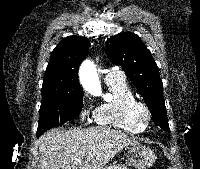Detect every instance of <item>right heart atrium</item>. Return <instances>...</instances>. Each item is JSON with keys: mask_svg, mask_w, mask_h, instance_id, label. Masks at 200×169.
Returning a JSON list of instances; mask_svg holds the SVG:
<instances>
[{"mask_svg": "<svg viewBox=\"0 0 200 169\" xmlns=\"http://www.w3.org/2000/svg\"><path fill=\"white\" fill-rule=\"evenodd\" d=\"M92 114H93V111H92V107H91L89 101L84 100L81 105L80 111H79L80 119L82 121H86L92 116Z\"/></svg>", "mask_w": 200, "mask_h": 169, "instance_id": "1", "label": "right heart atrium"}]
</instances>
